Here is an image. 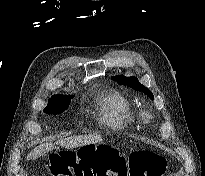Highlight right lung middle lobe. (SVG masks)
<instances>
[{
	"label": "right lung middle lobe",
	"mask_w": 205,
	"mask_h": 176,
	"mask_svg": "<svg viewBox=\"0 0 205 176\" xmlns=\"http://www.w3.org/2000/svg\"><path fill=\"white\" fill-rule=\"evenodd\" d=\"M71 96L54 95L49 99L48 106L44 109L48 114H59L64 112L70 104Z\"/></svg>",
	"instance_id": "1"
}]
</instances>
